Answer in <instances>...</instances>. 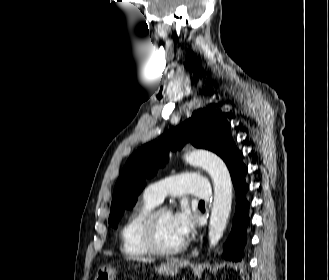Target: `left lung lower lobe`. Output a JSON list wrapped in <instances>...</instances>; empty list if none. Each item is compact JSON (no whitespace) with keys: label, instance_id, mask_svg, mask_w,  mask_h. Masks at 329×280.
Instances as JSON below:
<instances>
[{"label":"left lung lower lobe","instance_id":"obj_1","mask_svg":"<svg viewBox=\"0 0 329 280\" xmlns=\"http://www.w3.org/2000/svg\"><path fill=\"white\" fill-rule=\"evenodd\" d=\"M247 168L241 160L230 170L231 178L236 191V211L233 218V227L225 244L224 257L232 261H240L243 256V247L246 241V227L249 224V203L246 200L248 185L245 182Z\"/></svg>","mask_w":329,"mask_h":280}]
</instances>
